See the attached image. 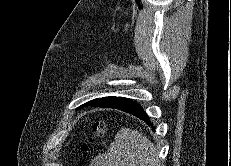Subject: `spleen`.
Masks as SVG:
<instances>
[{
    "label": "spleen",
    "instance_id": "obj_1",
    "mask_svg": "<svg viewBox=\"0 0 231 166\" xmlns=\"http://www.w3.org/2000/svg\"><path fill=\"white\" fill-rule=\"evenodd\" d=\"M91 166H160L153 143L137 130L123 128Z\"/></svg>",
    "mask_w": 231,
    "mask_h": 166
}]
</instances>
